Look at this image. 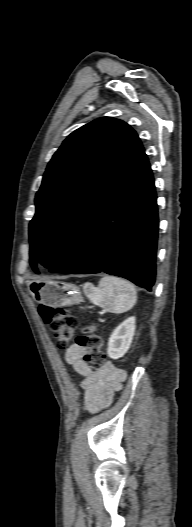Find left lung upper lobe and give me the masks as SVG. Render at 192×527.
<instances>
[{
    "mask_svg": "<svg viewBox=\"0 0 192 527\" xmlns=\"http://www.w3.org/2000/svg\"><path fill=\"white\" fill-rule=\"evenodd\" d=\"M144 153L125 122L102 117L71 133L55 152L36 194L29 225L30 264L51 268L93 210Z\"/></svg>",
    "mask_w": 192,
    "mask_h": 527,
    "instance_id": "1",
    "label": "left lung upper lobe"
}]
</instances>
